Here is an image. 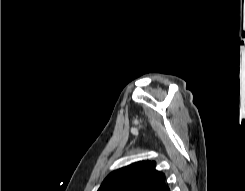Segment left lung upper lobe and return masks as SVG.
<instances>
[{
  "label": "left lung upper lobe",
  "mask_w": 245,
  "mask_h": 191,
  "mask_svg": "<svg viewBox=\"0 0 245 191\" xmlns=\"http://www.w3.org/2000/svg\"><path fill=\"white\" fill-rule=\"evenodd\" d=\"M152 161H138L111 172L98 191H161L165 174Z\"/></svg>",
  "instance_id": "left-lung-upper-lobe-1"
}]
</instances>
